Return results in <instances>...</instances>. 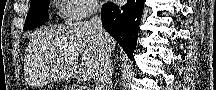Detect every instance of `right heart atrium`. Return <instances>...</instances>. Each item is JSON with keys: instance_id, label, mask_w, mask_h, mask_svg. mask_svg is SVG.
<instances>
[{"instance_id": "right-heart-atrium-1", "label": "right heart atrium", "mask_w": 216, "mask_h": 90, "mask_svg": "<svg viewBox=\"0 0 216 90\" xmlns=\"http://www.w3.org/2000/svg\"><path fill=\"white\" fill-rule=\"evenodd\" d=\"M62 2L64 6H71L68 8L69 12L63 13V17L67 20H82L95 11V6H98L95 0H62Z\"/></svg>"}]
</instances>
